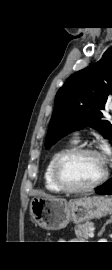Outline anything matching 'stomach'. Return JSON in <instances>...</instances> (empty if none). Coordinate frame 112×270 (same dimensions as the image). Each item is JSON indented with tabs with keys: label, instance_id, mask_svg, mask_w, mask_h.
Returning <instances> with one entry per match:
<instances>
[{
	"label": "stomach",
	"instance_id": "stomach-1",
	"mask_svg": "<svg viewBox=\"0 0 112 270\" xmlns=\"http://www.w3.org/2000/svg\"><path fill=\"white\" fill-rule=\"evenodd\" d=\"M36 224L46 230H59L70 221L82 223L112 213V199L105 196H84L70 201L54 197H37L30 203Z\"/></svg>",
	"mask_w": 112,
	"mask_h": 270
}]
</instances>
